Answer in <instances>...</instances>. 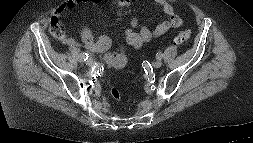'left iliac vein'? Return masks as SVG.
I'll list each match as a JSON object with an SVG mask.
<instances>
[{
  "label": "left iliac vein",
  "mask_w": 253,
  "mask_h": 143,
  "mask_svg": "<svg viewBox=\"0 0 253 143\" xmlns=\"http://www.w3.org/2000/svg\"><path fill=\"white\" fill-rule=\"evenodd\" d=\"M161 66H162V61L161 60H157L153 63L154 68H160Z\"/></svg>",
  "instance_id": "obj_1"
}]
</instances>
